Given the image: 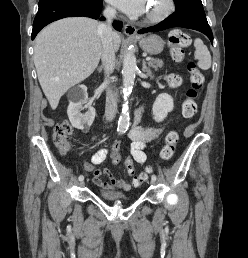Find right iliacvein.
I'll use <instances>...</instances> for the list:
<instances>
[{"label":"right iliac vein","mask_w":248,"mask_h":258,"mask_svg":"<svg viewBox=\"0 0 248 258\" xmlns=\"http://www.w3.org/2000/svg\"><path fill=\"white\" fill-rule=\"evenodd\" d=\"M84 181L82 180L81 182H80V186H84Z\"/></svg>","instance_id":"right-iliac-vein-1"}]
</instances>
